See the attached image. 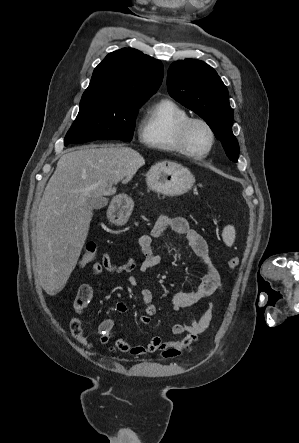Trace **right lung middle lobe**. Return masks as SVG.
I'll return each instance as SVG.
<instances>
[{
  "mask_svg": "<svg viewBox=\"0 0 299 443\" xmlns=\"http://www.w3.org/2000/svg\"><path fill=\"white\" fill-rule=\"evenodd\" d=\"M145 102L82 96L79 113L65 136L64 145L98 139L131 141L138 108Z\"/></svg>",
  "mask_w": 299,
  "mask_h": 443,
  "instance_id": "1",
  "label": "right lung middle lobe"
}]
</instances>
